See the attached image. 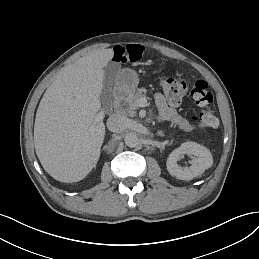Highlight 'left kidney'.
Segmentation results:
<instances>
[{"instance_id":"left-kidney-1","label":"left kidney","mask_w":259,"mask_h":259,"mask_svg":"<svg viewBox=\"0 0 259 259\" xmlns=\"http://www.w3.org/2000/svg\"><path fill=\"white\" fill-rule=\"evenodd\" d=\"M184 154L195 156L190 167L183 168L177 164ZM212 164L213 157L209 149L196 142L182 143L179 148L171 152L166 162L168 172L180 180H191L201 175Z\"/></svg>"}]
</instances>
